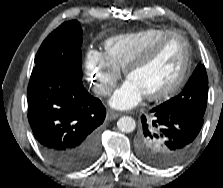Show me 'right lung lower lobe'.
I'll list each match as a JSON object with an SVG mask.
<instances>
[{"label":"right lung lower lobe","mask_w":223,"mask_h":188,"mask_svg":"<svg viewBox=\"0 0 223 188\" xmlns=\"http://www.w3.org/2000/svg\"><path fill=\"white\" fill-rule=\"evenodd\" d=\"M27 101L33 134L52 164L72 172L95 161L106 110L83 84L59 73L32 72Z\"/></svg>","instance_id":"right-lung-lower-lobe-1"}]
</instances>
